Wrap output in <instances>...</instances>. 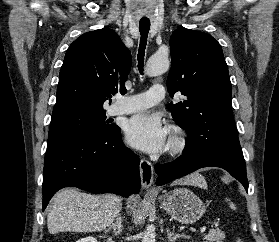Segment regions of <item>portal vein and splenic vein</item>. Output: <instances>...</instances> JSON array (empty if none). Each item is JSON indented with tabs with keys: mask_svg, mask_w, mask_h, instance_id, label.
<instances>
[{
	"mask_svg": "<svg viewBox=\"0 0 279 242\" xmlns=\"http://www.w3.org/2000/svg\"><path fill=\"white\" fill-rule=\"evenodd\" d=\"M206 231V227L201 229V233L203 234Z\"/></svg>",
	"mask_w": 279,
	"mask_h": 242,
	"instance_id": "obj_1",
	"label": "portal vein and splenic vein"
}]
</instances>
